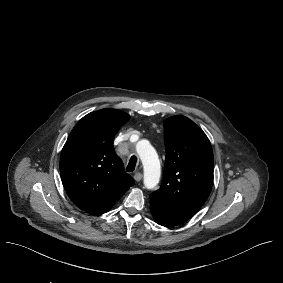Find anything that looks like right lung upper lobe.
<instances>
[{"instance_id": "cb5924a9", "label": "right lung upper lobe", "mask_w": 283, "mask_h": 283, "mask_svg": "<svg viewBox=\"0 0 283 283\" xmlns=\"http://www.w3.org/2000/svg\"><path fill=\"white\" fill-rule=\"evenodd\" d=\"M130 116L102 109L84 116L71 131L60 157V174L70 199L91 214H103L134 184L113 141Z\"/></svg>"}]
</instances>
